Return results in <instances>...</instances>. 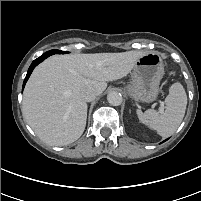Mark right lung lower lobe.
Listing matches in <instances>:
<instances>
[{
  "instance_id": "obj_1",
  "label": "right lung lower lobe",
  "mask_w": 201,
  "mask_h": 201,
  "mask_svg": "<svg viewBox=\"0 0 201 201\" xmlns=\"http://www.w3.org/2000/svg\"><path fill=\"white\" fill-rule=\"evenodd\" d=\"M48 56H50V53L49 52H46L44 53L42 56H40L39 58L35 59L32 64L30 65L29 69H28V72H27V75H26V78L23 82V88L25 86V83L27 82L29 76L31 75L33 69L35 68V66H37L40 62H42L44 59H46Z\"/></svg>"
}]
</instances>
